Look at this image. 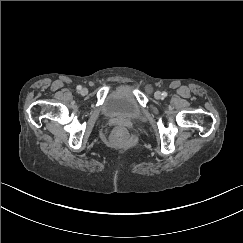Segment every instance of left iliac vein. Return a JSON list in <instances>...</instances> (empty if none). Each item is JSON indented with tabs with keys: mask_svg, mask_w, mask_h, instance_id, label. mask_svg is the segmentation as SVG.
<instances>
[{
	"mask_svg": "<svg viewBox=\"0 0 243 243\" xmlns=\"http://www.w3.org/2000/svg\"><path fill=\"white\" fill-rule=\"evenodd\" d=\"M154 96L156 99H160L162 97V94L160 91H157V92H155Z\"/></svg>",
	"mask_w": 243,
	"mask_h": 243,
	"instance_id": "obj_1",
	"label": "left iliac vein"
}]
</instances>
